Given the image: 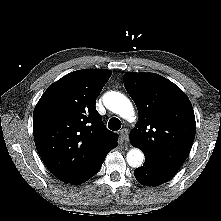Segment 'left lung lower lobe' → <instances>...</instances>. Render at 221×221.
I'll list each match as a JSON object with an SVG mask.
<instances>
[{
    "mask_svg": "<svg viewBox=\"0 0 221 221\" xmlns=\"http://www.w3.org/2000/svg\"><path fill=\"white\" fill-rule=\"evenodd\" d=\"M177 170L156 164L145 158L143 166L134 170L137 181L145 186H158L170 180Z\"/></svg>",
    "mask_w": 221,
    "mask_h": 221,
    "instance_id": "obj_1",
    "label": "left lung lower lobe"
}]
</instances>
